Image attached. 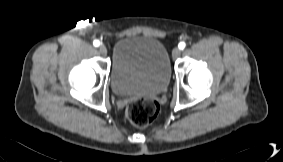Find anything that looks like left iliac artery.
Listing matches in <instances>:
<instances>
[{
  "label": "left iliac artery",
  "mask_w": 283,
  "mask_h": 162,
  "mask_svg": "<svg viewBox=\"0 0 283 162\" xmlns=\"http://www.w3.org/2000/svg\"><path fill=\"white\" fill-rule=\"evenodd\" d=\"M185 46H186L185 42H180L179 45H178L179 49H181V50H183L185 48Z\"/></svg>",
  "instance_id": "left-iliac-artery-1"
}]
</instances>
